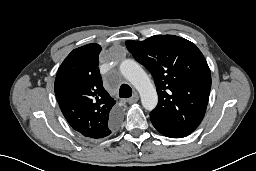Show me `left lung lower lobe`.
<instances>
[{
	"label": "left lung lower lobe",
	"instance_id": "1",
	"mask_svg": "<svg viewBox=\"0 0 256 171\" xmlns=\"http://www.w3.org/2000/svg\"><path fill=\"white\" fill-rule=\"evenodd\" d=\"M152 124L154 125V127L163 135L170 137V138H181L182 136L174 133L173 131H171L168 127L164 126L161 123L152 121Z\"/></svg>",
	"mask_w": 256,
	"mask_h": 171
}]
</instances>
